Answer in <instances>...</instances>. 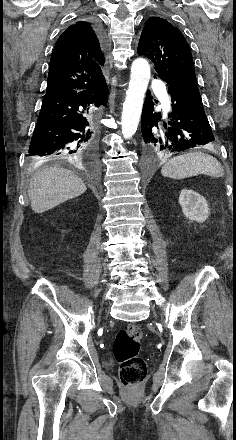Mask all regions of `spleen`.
Listing matches in <instances>:
<instances>
[{
  "instance_id": "3e777b00",
  "label": "spleen",
  "mask_w": 236,
  "mask_h": 440,
  "mask_svg": "<svg viewBox=\"0 0 236 440\" xmlns=\"http://www.w3.org/2000/svg\"><path fill=\"white\" fill-rule=\"evenodd\" d=\"M164 177L185 179L199 174L222 177L224 169L219 161L203 152H191L170 159L161 169Z\"/></svg>"
}]
</instances>
